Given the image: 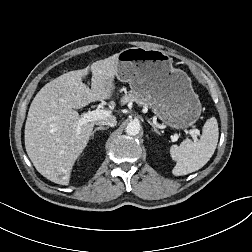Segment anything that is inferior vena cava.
<instances>
[{
    "mask_svg": "<svg viewBox=\"0 0 252 252\" xmlns=\"http://www.w3.org/2000/svg\"><path fill=\"white\" fill-rule=\"evenodd\" d=\"M97 124L98 125H107V126H110V127H114V126H116L117 121H116L115 118H111V119H108V120L99 121Z\"/></svg>",
    "mask_w": 252,
    "mask_h": 252,
    "instance_id": "1",
    "label": "inferior vena cava"
}]
</instances>
